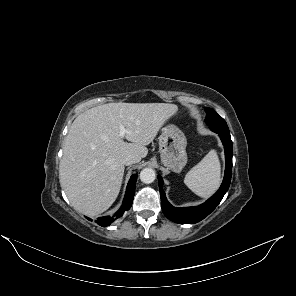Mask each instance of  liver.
Listing matches in <instances>:
<instances>
[{
    "label": "liver",
    "instance_id": "6515ba94",
    "mask_svg": "<svg viewBox=\"0 0 296 296\" xmlns=\"http://www.w3.org/2000/svg\"><path fill=\"white\" fill-rule=\"evenodd\" d=\"M167 103H108L80 114L64 141L59 180L75 210L95 216L116 200L124 175L123 158L147 156L146 145L177 113ZM123 125L128 133L119 136Z\"/></svg>",
    "mask_w": 296,
    "mask_h": 296
}]
</instances>
